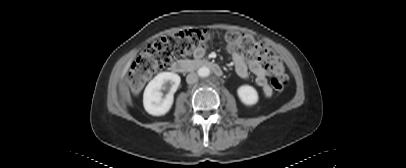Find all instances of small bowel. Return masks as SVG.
<instances>
[{"label":"small bowel","instance_id":"obj_1","mask_svg":"<svg viewBox=\"0 0 406 168\" xmlns=\"http://www.w3.org/2000/svg\"><path fill=\"white\" fill-rule=\"evenodd\" d=\"M227 50L233 59L236 73L242 78H248L249 74L253 73L255 75L256 84L261 88L262 94L265 97H270L272 95V89L267 82L266 69L261 61L245 57L230 46L227 47ZM204 54V48H199L194 52L195 58H201Z\"/></svg>","mask_w":406,"mask_h":168}]
</instances>
